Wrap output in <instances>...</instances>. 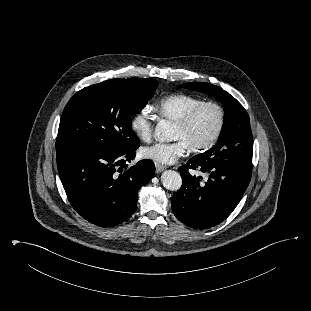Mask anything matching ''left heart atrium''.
Segmentation results:
<instances>
[{"mask_svg": "<svg viewBox=\"0 0 311 311\" xmlns=\"http://www.w3.org/2000/svg\"><path fill=\"white\" fill-rule=\"evenodd\" d=\"M188 148L189 147L181 140H176L173 143L158 142L144 147L141 150V155L156 163L172 164L180 157L184 156Z\"/></svg>", "mask_w": 311, "mask_h": 311, "instance_id": "left-heart-atrium-1", "label": "left heart atrium"}]
</instances>
